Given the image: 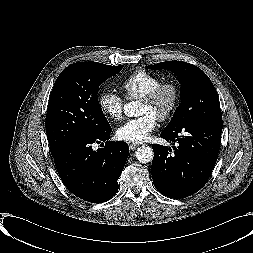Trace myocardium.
Returning <instances> with one entry per match:
<instances>
[{
  "mask_svg": "<svg viewBox=\"0 0 253 253\" xmlns=\"http://www.w3.org/2000/svg\"><path fill=\"white\" fill-rule=\"evenodd\" d=\"M165 91L171 92L172 100L168 108L157 118L159 122L168 120L176 111L181 99V90L179 85L173 81L162 82L141 98V101L151 104L158 100Z\"/></svg>",
  "mask_w": 253,
  "mask_h": 253,
  "instance_id": "myocardium-1",
  "label": "myocardium"
}]
</instances>
